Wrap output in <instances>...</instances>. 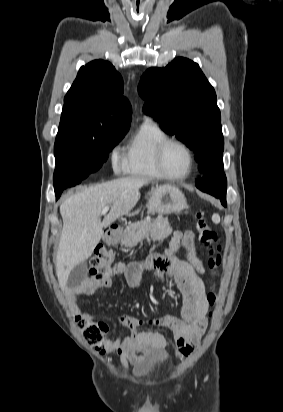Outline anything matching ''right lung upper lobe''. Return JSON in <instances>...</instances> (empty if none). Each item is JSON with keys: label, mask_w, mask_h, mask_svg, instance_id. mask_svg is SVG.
<instances>
[{"label": "right lung upper lobe", "mask_w": 283, "mask_h": 412, "mask_svg": "<svg viewBox=\"0 0 283 412\" xmlns=\"http://www.w3.org/2000/svg\"><path fill=\"white\" fill-rule=\"evenodd\" d=\"M123 79L114 66L95 60L80 68L67 92L61 120H74L94 133L127 132L132 110L122 96Z\"/></svg>", "instance_id": "obj_1"}]
</instances>
